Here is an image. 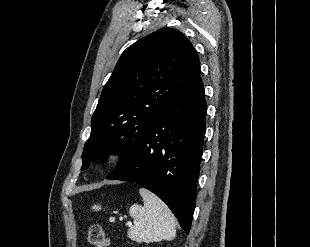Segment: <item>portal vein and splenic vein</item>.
<instances>
[{"label":"portal vein and splenic vein","mask_w":310,"mask_h":247,"mask_svg":"<svg viewBox=\"0 0 310 247\" xmlns=\"http://www.w3.org/2000/svg\"><path fill=\"white\" fill-rule=\"evenodd\" d=\"M122 220V219H121ZM128 225H132V223H128Z\"/></svg>","instance_id":"1"}]
</instances>
